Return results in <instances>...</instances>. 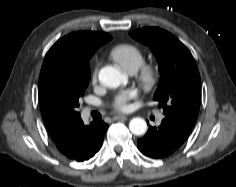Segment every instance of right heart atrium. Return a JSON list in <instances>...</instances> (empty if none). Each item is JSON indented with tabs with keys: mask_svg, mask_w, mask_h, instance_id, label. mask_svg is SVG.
Here are the masks:
<instances>
[{
	"mask_svg": "<svg viewBox=\"0 0 236 187\" xmlns=\"http://www.w3.org/2000/svg\"><path fill=\"white\" fill-rule=\"evenodd\" d=\"M98 70H99V66L96 65L91 73V82L92 83H96L97 79H98Z\"/></svg>",
	"mask_w": 236,
	"mask_h": 187,
	"instance_id": "obj_1",
	"label": "right heart atrium"
}]
</instances>
